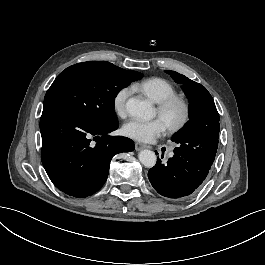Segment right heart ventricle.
Listing matches in <instances>:
<instances>
[{
	"label": "right heart ventricle",
	"instance_id": "right-heart-ventricle-1",
	"mask_svg": "<svg viewBox=\"0 0 265 265\" xmlns=\"http://www.w3.org/2000/svg\"><path fill=\"white\" fill-rule=\"evenodd\" d=\"M132 89L149 98L154 103H160L164 99L175 95L174 86L162 77H147L135 81Z\"/></svg>",
	"mask_w": 265,
	"mask_h": 265
}]
</instances>
